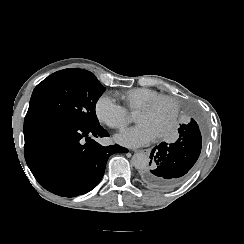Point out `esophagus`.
<instances>
[{"mask_svg": "<svg viewBox=\"0 0 244 244\" xmlns=\"http://www.w3.org/2000/svg\"><path fill=\"white\" fill-rule=\"evenodd\" d=\"M150 151H151L150 148L134 150L135 153H144L146 155H149L150 154Z\"/></svg>", "mask_w": 244, "mask_h": 244, "instance_id": "esophagus-1", "label": "esophagus"}]
</instances>
